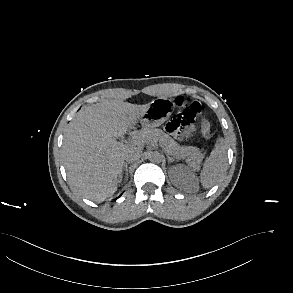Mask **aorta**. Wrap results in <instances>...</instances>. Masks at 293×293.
Wrapping results in <instances>:
<instances>
[{
	"instance_id": "obj_1",
	"label": "aorta",
	"mask_w": 293,
	"mask_h": 293,
	"mask_svg": "<svg viewBox=\"0 0 293 293\" xmlns=\"http://www.w3.org/2000/svg\"><path fill=\"white\" fill-rule=\"evenodd\" d=\"M162 159H163V156L157 151L149 153V160L153 163H160Z\"/></svg>"
}]
</instances>
